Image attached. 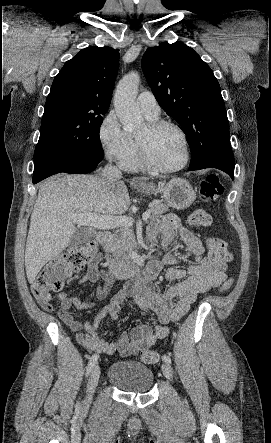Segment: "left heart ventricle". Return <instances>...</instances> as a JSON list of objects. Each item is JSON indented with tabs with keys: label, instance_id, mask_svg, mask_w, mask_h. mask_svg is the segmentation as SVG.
Wrapping results in <instances>:
<instances>
[{
	"label": "left heart ventricle",
	"instance_id": "b2bd125f",
	"mask_svg": "<svg viewBox=\"0 0 271 443\" xmlns=\"http://www.w3.org/2000/svg\"><path fill=\"white\" fill-rule=\"evenodd\" d=\"M145 133L146 126L138 136H144ZM148 144L153 160L160 166H177L185 158L184 141L174 128L165 127L158 130L149 137Z\"/></svg>",
	"mask_w": 271,
	"mask_h": 443
}]
</instances>
